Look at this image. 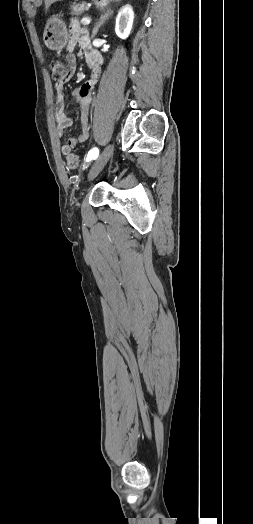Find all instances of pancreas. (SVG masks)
Wrapping results in <instances>:
<instances>
[{"label":"pancreas","mask_w":253,"mask_h":524,"mask_svg":"<svg viewBox=\"0 0 253 524\" xmlns=\"http://www.w3.org/2000/svg\"><path fill=\"white\" fill-rule=\"evenodd\" d=\"M88 8L89 7L86 2L73 3L70 7L72 15L75 16L81 14L84 10H87Z\"/></svg>","instance_id":"1"}]
</instances>
